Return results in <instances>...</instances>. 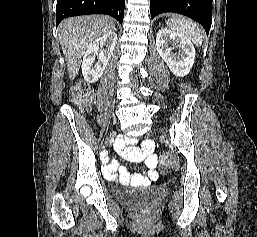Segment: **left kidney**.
Wrapping results in <instances>:
<instances>
[{
    "label": "left kidney",
    "instance_id": "1",
    "mask_svg": "<svg viewBox=\"0 0 257 237\" xmlns=\"http://www.w3.org/2000/svg\"><path fill=\"white\" fill-rule=\"evenodd\" d=\"M156 48L174 75L184 77L190 72L195 61V49L187 37L161 29L156 35Z\"/></svg>",
    "mask_w": 257,
    "mask_h": 237
}]
</instances>
